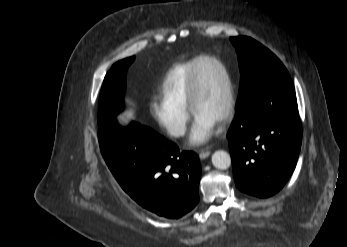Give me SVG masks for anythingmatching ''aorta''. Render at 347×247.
<instances>
[{"label": "aorta", "instance_id": "obj_1", "mask_svg": "<svg viewBox=\"0 0 347 247\" xmlns=\"http://www.w3.org/2000/svg\"><path fill=\"white\" fill-rule=\"evenodd\" d=\"M211 159L213 166L217 169L226 170L231 165V157L229 153L223 150L215 151Z\"/></svg>", "mask_w": 347, "mask_h": 247}]
</instances>
